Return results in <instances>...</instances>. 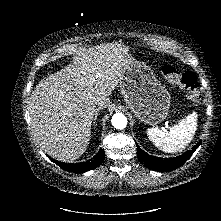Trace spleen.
Listing matches in <instances>:
<instances>
[{"label": "spleen", "instance_id": "obj_1", "mask_svg": "<svg viewBox=\"0 0 221 221\" xmlns=\"http://www.w3.org/2000/svg\"><path fill=\"white\" fill-rule=\"evenodd\" d=\"M196 129L197 114L192 113L169 130L165 128H149L147 129V135L160 150L173 153L181 151L192 141Z\"/></svg>", "mask_w": 221, "mask_h": 221}]
</instances>
